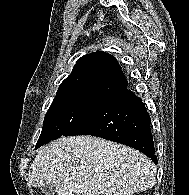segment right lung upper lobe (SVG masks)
<instances>
[{
	"label": "right lung upper lobe",
	"mask_w": 189,
	"mask_h": 195,
	"mask_svg": "<svg viewBox=\"0 0 189 195\" xmlns=\"http://www.w3.org/2000/svg\"><path fill=\"white\" fill-rule=\"evenodd\" d=\"M127 85L116 58L98 51L77 60L72 73L61 83L57 93L90 90L111 94Z\"/></svg>",
	"instance_id": "obj_1"
}]
</instances>
